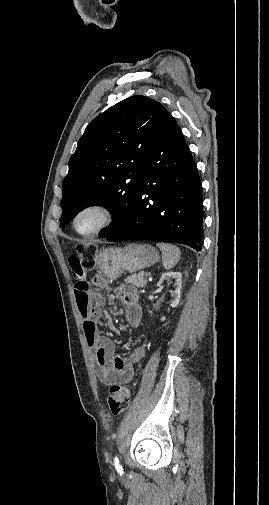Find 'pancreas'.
Instances as JSON below:
<instances>
[{"mask_svg":"<svg viewBox=\"0 0 269 505\" xmlns=\"http://www.w3.org/2000/svg\"><path fill=\"white\" fill-rule=\"evenodd\" d=\"M125 283L132 284L136 287H144L147 285V280L144 278V273L133 274L125 279Z\"/></svg>","mask_w":269,"mask_h":505,"instance_id":"1","label":"pancreas"}]
</instances>
